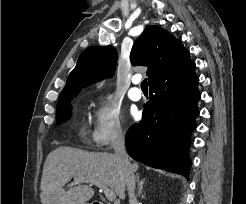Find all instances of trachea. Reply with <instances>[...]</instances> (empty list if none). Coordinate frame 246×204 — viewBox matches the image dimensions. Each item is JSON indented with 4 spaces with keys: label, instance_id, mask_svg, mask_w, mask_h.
Wrapping results in <instances>:
<instances>
[{
    "label": "trachea",
    "instance_id": "obj_1",
    "mask_svg": "<svg viewBox=\"0 0 246 204\" xmlns=\"http://www.w3.org/2000/svg\"><path fill=\"white\" fill-rule=\"evenodd\" d=\"M141 88L142 89H148V85H147V78H145L142 82H141Z\"/></svg>",
    "mask_w": 246,
    "mask_h": 204
}]
</instances>
